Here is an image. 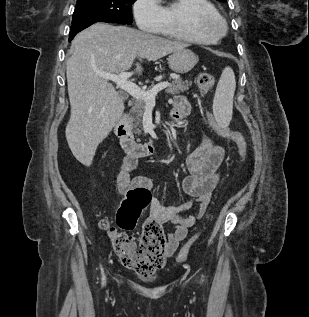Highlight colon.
<instances>
[{"label":"colon","mask_w":309,"mask_h":317,"mask_svg":"<svg viewBox=\"0 0 309 317\" xmlns=\"http://www.w3.org/2000/svg\"><path fill=\"white\" fill-rule=\"evenodd\" d=\"M201 93H209L214 86V77L210 73H201L197 79ZM207 118L214 124L212 115L208 112ZM223 137L231 139L237 147L240 160L245 161L247 156V143L243 135L230 129H221ZM151 193L146 189L130 190L117 215V228H114L106 220L102 221V227L111 237L115 254L121 263L142 276H148L160 269L165 263L166 237L162 225L155 220H147L139 238H135L127 232L132 230L141 213L149 206ZM195 239H191L180 251L178 260H184L193 245Z\"/></svg>","instance_id":"obj_1"}]
</instances>
